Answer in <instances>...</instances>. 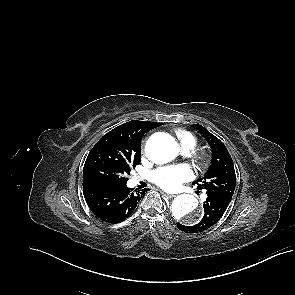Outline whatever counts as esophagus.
Returning a JSON list of instances; mask_svg holds the SVG:
<instances>
[{"label": "esophagus", "instance_id": "1", "mask_svg": "<svg viewBox=\"0 0 295 295\" xmlns=\"http://www.w3.org/2000/svg\"><path fill=\"white\" fill-rule=\"evenodd\" d=\"M161 194H162L163 197H166V198H173V197H175V195L168 194V193H165V192H161Z\"/></svg>", "mask_w": 295, "mask_h": 295}]
</instances>
